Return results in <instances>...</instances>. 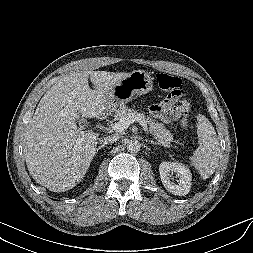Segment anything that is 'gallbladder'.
Here are the masks:
<instances>
[{
  "mask_svg": "<svg viewBox=\"0 0 253 253\" xmlns=\"http://www.w3.org/2000/svg\"><path fill=\"white\" fill-rule=\"evenodd\" d=\"M82 123L86 124V121L84 119H81L80 120Z\"/></svg>",
  "mask_w": 253,
  "mask_h": 253,
  "instance_id": "gallbladder-1",
  "label": "gallbladder"
}]
</instances>
